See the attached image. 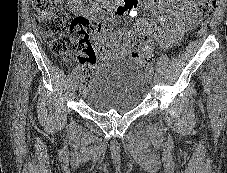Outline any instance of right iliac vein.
Here are the masks:
<instances>
[{
    "mask_svg": "<svg viewBox=\"0 0 227 173\" xmlns=\"http://www.w3.org/2000/svg\"><path fill=\"white\" fill-rule=\"evenodd\" d=\"M79 83V75H77L74 79V87L76 88L78 86Z\"/></svg>",
    "mask_w": 227,
    "mask_h": 173,
    "instance_id": "63e3f726",
    "label": "right iliac vein"
}]
</instances>
